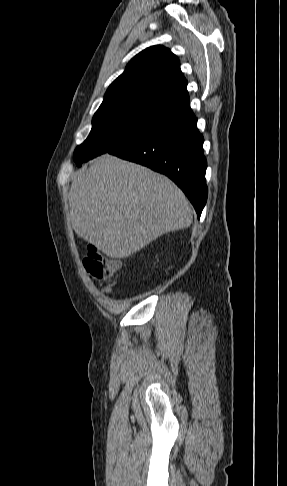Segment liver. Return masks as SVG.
Masks as SVG:
<instances>
[{"instance_id":"obj_1","label":"liver","mask_w":287,"mask_h":486,"mask_svg":"<svg viewBox=\"0 0 287 486\" xmlns=\"http://www.w3.org/2000/svg\"><path fill=\"white\" fill-rule=\"evenodd\" d=\"M69 207L77 235L119 259L193 219L186 196L170 179L109 154L74 175Z\"/></svg>"}]
</instances>
